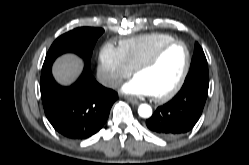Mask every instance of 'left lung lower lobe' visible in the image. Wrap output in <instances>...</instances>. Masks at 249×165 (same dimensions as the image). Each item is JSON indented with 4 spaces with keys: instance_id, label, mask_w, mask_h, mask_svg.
<instances>
[{
    "instance_id": "obj_1",
    "label": "left lung lower lobe",
    "mask_w": 249,
    "mask_h": 165,
    "mask_svg": "<svg viewBox=\"0 0 249 165\" xmlns=\"http://www.w3.org/2000/svg\"><path fill=\"white\" fill-rule=\"evenodd\" d=\"M209 78L197 76L185 80L181 90L168 103L156 109L146 120L150 131L173 139L190 131L199 120L208 95Z\"/></svg>"
}]
</instances>
